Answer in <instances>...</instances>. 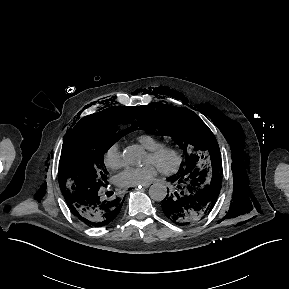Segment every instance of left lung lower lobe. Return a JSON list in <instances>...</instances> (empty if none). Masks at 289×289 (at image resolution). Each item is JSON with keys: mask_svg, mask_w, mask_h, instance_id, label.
<instances>
[{"mask_svg": "<svg viewBox=\"0 0 289 289\" xmlns=\"http://www.w3.org/2000/svg\"><path fill=\"white\" fill-rule=\"evenodd\" d=\"M168 180L177 184V191L162 201L163 213L169 220L181 226L192 225L211 212L220 192V172L208 176L196 171Z\"/></svg>", "mask_w": 289, "mask_h": 289, "instance_id": "1", "label": "left lung lower lobe"}]
</instances>
